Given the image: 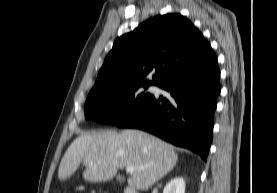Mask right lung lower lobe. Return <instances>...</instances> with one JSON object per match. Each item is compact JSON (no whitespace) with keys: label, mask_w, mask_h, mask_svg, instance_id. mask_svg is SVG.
I'll use <instances>...</instances> for the list:
<instances>
[{"label":"right lung lower lobe","mask_w":277,"mask_h":193,"mask_svg":"<svg viewBox=\"0 0 277 193\" xmlns=\"http://www.w3.org/2000/svg\"><path fill=\"white\" fill-rule=\"evenodd\" d=\"M169 98H152L117 124L148 131L207 159L214 126L220 71L211 51L199 62L180 70L158 85Z\"/></svg>","instance_id":"98d812e1"}]
</instances>
